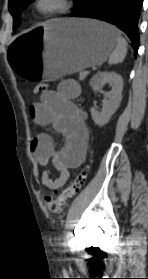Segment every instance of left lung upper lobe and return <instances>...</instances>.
Listing matches in <instances>:
<instances>
[{
    "mask_svg": "<svg viewBox=\"0 0 148 279\" xmlns=\"http://www.w3.org/2000/svg\"><path fill=\"white\" fill-rule=\"evenodd\" d=\"M34 0H9L8 8L13 16L14 24L13 28L16 29L20 25V15L24 8L27 7L28 3ZM79 0H74L77 3Z\"/></svg>",
    "mask_w": 148,
    "mask_h": 279,
    "instance_id": "obj_1",
    "label": "left lung upper lobe"
}]
</instances>
